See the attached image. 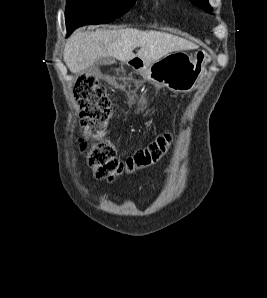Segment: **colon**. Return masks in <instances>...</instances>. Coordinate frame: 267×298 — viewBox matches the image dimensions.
Returning <instances> with one entry per match:
<instances>
[{"mask_svg":"<svg viewBox=\"0 0 267 298\" xmlns=\"http://www.w3.org/2000/svg\"><path fill=\"white\" fill-rule=\"evenodd\" d=\"M73 97L84 126L90 132H98L109 115L110 107L105 90L96 77L91 74L80 75L73 88ZM171 141V134L165 132L132 156L119 160L114 156L112 144L103 140L92 148L90 163L97 178L113 182L122 174L132 173L157 163L166 154ZM81 148H87L84 141Z\"/></svg>","mask_w":267,"mask_h":298,"instance_id":"obj_1","label":"colon"}]
</instances>
